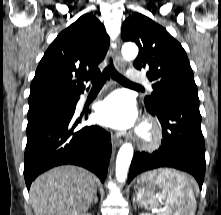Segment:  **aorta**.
Returning <instances> with one entry per match:
<instances>
[{
  "mask_svg": "<svg viewBox=\"0 0 221 215\" xmlns=\"http://www.w3.org/2000/svg\"><path fill=\"white\" fill-rule=\"evenodd\" d=\"M121 53L124 60L132 61L138 55V47L131 42L125 43L122 46ZM132 157L133 146L130 143L123 144L116 159V179L118 182H124L126 180Z\"/></svg>",
  "mask_w": 221,
  "mask_h": 215,
  "instance_id": "aorta-1",
  "label": "aorta"
}]
</instances>
